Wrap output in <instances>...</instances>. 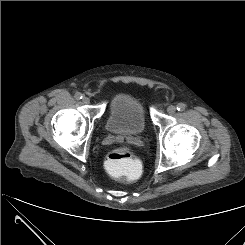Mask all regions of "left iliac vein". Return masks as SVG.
Returning a JSON list of instances; mask_svg holds the SVG:
<instances>
[{
	"instance_id": "obj_1",
	"label": "left iliac vein",
	"mask_w": 245,
	"mask_h": 245,
	"mask_svg": "<svg viewBox=\"0 0 245 245\" xmlns=\"http://www.w3.org/2000/svg\"><path fill=\"white\" fill-rule=\"evenodd\" d=\"M167 112H168L170 115H173V114L176 112V107L173 106V105L168 106Z\"/></svg>"
}]
</instances>
